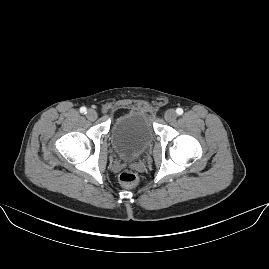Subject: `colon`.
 Instances as JSON below:
<instances>
[{"instance_id":"obj_1","label":"colon","mask_w":269,"mask_h":269,"mask_svg":"<svg viewBox=\"0 0 269 269\" xmlns=\"http://www.w3.org/2000/svg\"><path fill=\"white\" fill-rule=\"evenodd\" d=\"M119 181L123 186L134 187L138 183V176L135 172L126 169L119 174Z\"/></svg>"}]
</instances>
